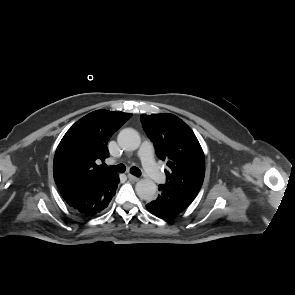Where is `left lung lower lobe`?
<instances>
[{"label":"left lung lower lobe","instance_id":"1","mask_svg":"<svg viewBox=\"0 0 295 295\" xmlns=\"http://www.w3.org/2000/svg\"><path fill=\"white\" fill-rule=\"evenodd\" d=\"M160 194L156 200L146 205V208L153 215L168 219L183 212L195 199L194 196L183 194L159 186Z\"/></svg>","mask_w":295,"mask_h":295}]
</instances>
